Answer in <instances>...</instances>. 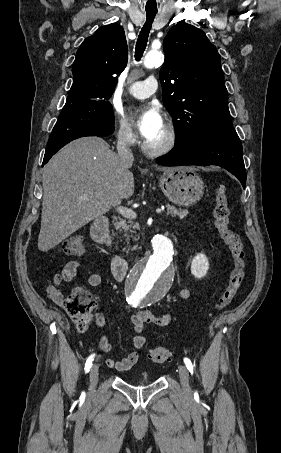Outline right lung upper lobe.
<instances>
[{"instance_id":"right-lung-upper-lobe-1","label":"right lung upper lobe","mask_w":281,"mask_h":453,"mask_svg":"<svg viewBox=\"0 0 281 453\" xmlns=\"http://www.w3.org/2000/svg\"><path fill=\"white\" fill-rule=\"evenodd\" d=\"M128 47L118 24L100 27L86 38L73 63V84L66 104L106 103L127 64Z\"/></svg>"}]
</instances>
